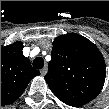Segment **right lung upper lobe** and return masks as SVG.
<instances>
[{"label": "right lung upper lobe", "mask_w": 109, "mask_h": 109, "mask_svg": "<svg viewBox=\"0 0 109 109\" xmlns=\"http://www.w3.org/2000/svg\"><path fill=\"white\" fill-rule=\"evenodd\" d=\"M20 41L1 48V105H8L18 99L30 78L39 75L22 53Z\"/></svg>", "instance_id": "right-lung-upper-lobe-1"}]
</instances>
